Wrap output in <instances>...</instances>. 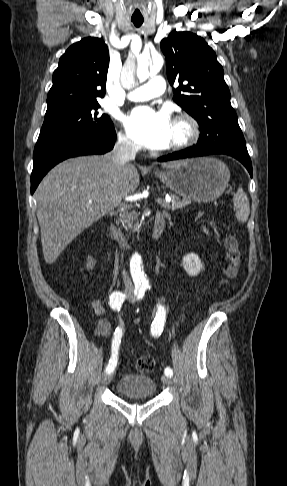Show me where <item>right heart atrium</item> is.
<instances>
[{
	"label": "right heart atrium",
	"instance_id": "1",
	"mask_svg": "<svg viewBox=\"0 0 287 486\" xmlns=\"http://www.w3.org/2000/svg\"><path fill=\"white\" fill-rule=\"evenodd\" d=\"M118 142L123 148L130 149V150L136 148L134 142L129 138L128 135H126L123 132L118 133Z\"/></svg>",
	"mask_w": 287,
	"mask_h": 486
}]
</instances>
